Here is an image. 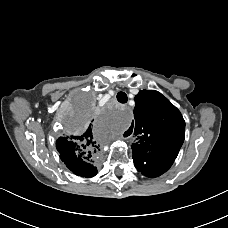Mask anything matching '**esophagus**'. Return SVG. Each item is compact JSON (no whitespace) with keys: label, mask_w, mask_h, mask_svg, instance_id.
I'll return each instance as SVG.
<instances>
[{"label":"esophagus","mask_w":228,"mask_h":228,"mask_svg":"<svg viewBox=\"0 0 228 228\" xmlns=\"http://www.w3.org/2000/svg\"><path fill=\"white\" fill-rule=\"evenodd\" d=\"M122 139H127L129 137V133L127 131H123L120 135Z\"/></svg>","instance_id":"1"}]
</instances>
